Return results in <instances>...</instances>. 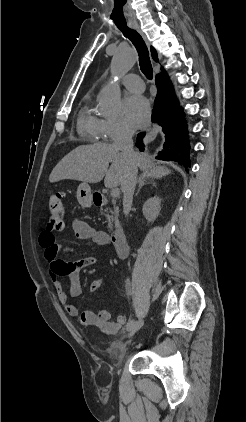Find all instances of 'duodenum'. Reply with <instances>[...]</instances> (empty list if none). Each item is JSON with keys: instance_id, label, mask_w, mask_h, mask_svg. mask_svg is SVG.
<instances>
[{"instance_id": "410a0bca", "label": "duodenum", "mask_w": 246, "mask_h": 422, "mask_svg": "<svg viewBox=\"0 0 246 422\" xmlns=\"http://www.w3.org/2000/svg\"><path fill=\"white\" fill-rule=\"evenodd\" d=\"M94 202L97 206L105 203L101 197H96ZM111 242L115 248V251L119 257H125L128 252V244L124 233L121 230H115L110 236Z\"/></svg>"}]
</instances>
